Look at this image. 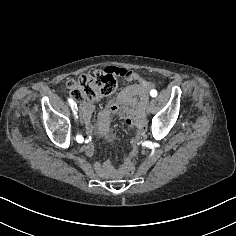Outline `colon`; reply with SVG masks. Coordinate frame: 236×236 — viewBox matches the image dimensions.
Returning <instances> with one entry per match:
<instances>
[{"instance_id": "obj_1", "label": "colon", "mask_w": 236, "mask_h": 236, "mask_svg": "<svg viewBox=\"0 0 236 236\" xmlns=\"http://www.w3.org/2000/svg\"><path fill=\"white\" fill-rule=\"evenodd\" d=\"M126 75L124 69L108 67L103 70L94 69L82 74L78 79L67 82L70 97L78 102H87L112 94L117 86V76ZM135 173V164L128 160L122 168L125 177Z\"/></svg>"}]
</instances>
